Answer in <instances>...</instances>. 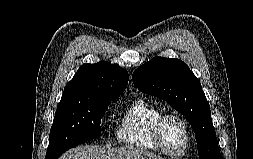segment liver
<instances>
[{
    "instance_id": "1",
    "label": "liver",
    "mask_w": 253,
    "mask_h": 159,
    "mask_svg": "<svg viewBox=\"0 0 253 159\" xmlns=\"http://www.w3.org/2000/svg\"><path fill=\"white\" fill-rule=\"evenodd\" d=\"M60 159H163L141 148L123 146H79L65 152Z\"/></svg>"
}]
</instances>
